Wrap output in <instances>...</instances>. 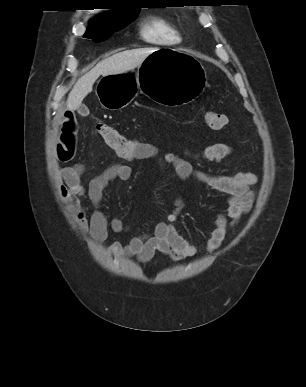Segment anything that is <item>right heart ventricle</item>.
Masks as SVG:
<instances>
[{
    "instance_id": "1",
    "label": "right heart ventricle",
    "mask_w": 306,
    "mask_h": 387,
    "mask_svg": "<svg viewBox=\"0 0 306 387\" xmlns=\"http://www.w3.org/2000/svg\"><path fill=\"white\" fill-rule=\"evenodd\" d=\"M140 35L148 43L170 46L181 42L182 37L175 23L165 15H151L140 26Z\"/></svg>"
}]
</instances>
